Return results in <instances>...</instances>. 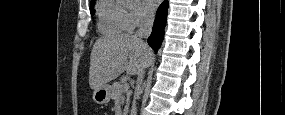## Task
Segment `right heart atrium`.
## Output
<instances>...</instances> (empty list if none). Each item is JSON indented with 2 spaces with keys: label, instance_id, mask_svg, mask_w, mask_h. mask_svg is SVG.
<instances>
[{
  "label": "right heart atrium",
  "instance_id": "right-heart-atrium-1",
  "mask_svg": "<svg viewBox=\"0 0 285 115\" xmlns=\"http://www.w3.org/2000/svg\"><path fill=\"white\" fill-rule=\"evenodd\" d=\"M152 16L142 7H136L127 12V31L132 32L137 28L150 24Z\"/></svg>",
  "mask_w": 285,
  "mask_h": 115
}]
</instances>
